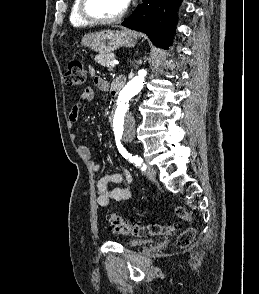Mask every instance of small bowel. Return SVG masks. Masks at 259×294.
Returning <instances> with one entry per match:
<instances>
[{
  "label": "small bowel",
  "instance_id": "c3829d8e",
  "mask_svg": "<svg viewBox=\"0 0 259 294\" xmlns=\"http://www.w3.org/2000/svg\"><path fill=\"white\" fill-rule=\"evenodd\" d=\"M90 73L94 76V83L100 91L104 93L110 91L109 83L104 78L96 76L95 71L92 68L90 69ZM94 95V90L91 87H86L81 91L78 101L73 105L69 112L70 122L73 123L78 119L83 104L93 100ZM78 149L80 153L83 154L90 161V164L94 171L99 172L101 170V167L99 163L93 159L90 148L86 145H80ZM130 181L131 174L128 170H123L120 173H112L102 176L97 182L98 204L101 207H107L112 200H128L132 195V191L124 186L129 184ZM111 184H114L116 186L110 188L109 186Z\"/></svg>",
  "mask_w": 259,
  "mask_h": 294
}]
</instances>
